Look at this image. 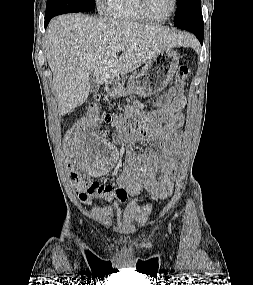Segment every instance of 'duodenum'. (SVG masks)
Masks as SVG:
<instances>
[{
  "label": "duodenum",
  "instance_id": "obj_1",
  "mask_svg": "<svg viewBox=\"0 0 253 285\" xmlns=\"http://www.w3.org/2000/svg\"><path fill=\"white\" fill-rule=\"evenodd\" d=\"M106 88L108 91L113 92L116 89V85L113 82H108L106 84Z\"/></svg>",
  "mask_w": 253,
  "mask_h": 285
}]
</instances>
